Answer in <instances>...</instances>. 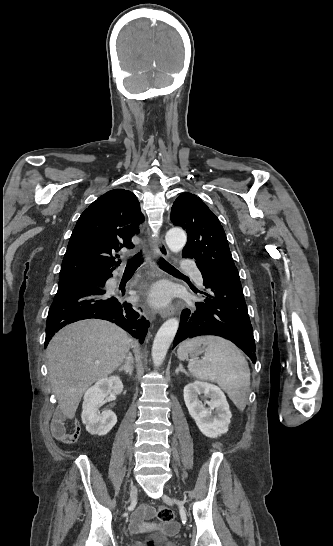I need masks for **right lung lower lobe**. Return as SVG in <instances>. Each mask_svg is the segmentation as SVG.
Instances as JSON below:
<instances>
[{
  "mask_svg": "<svg viewBox=\"0 0 333 546\" xmlns=\"http://www.w3.org/2000/svg\"><path fill=\"white\" fill-rule=\"evenodd\" d=\"M112 274L107 275V279ZM89 318L111 321L140 343L144 342L149 321L142 310L120 296H111L100 286H84L58 291L49 309L46 322V347L52 336L67 324Z\"/></svg>",
  "mask_w": 333,
  "mask_h": 546,
  "instance_id": "1",
  "label": "right lung lower lobe"
}]
</instances>
